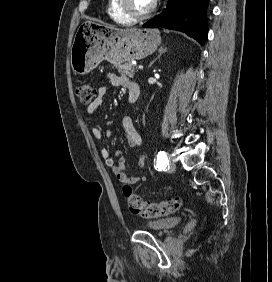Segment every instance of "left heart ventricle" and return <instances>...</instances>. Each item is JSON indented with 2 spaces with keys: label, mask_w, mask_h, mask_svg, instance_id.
<instances>
[{
  "label": "left heart ventricle",
  "mask_w": 272,
  "mask_h": 282,
  "mask_svg": "<svg viewBox=\"0 0 272 282\" xmlns=\"http://www.w3.org/2000/svg\"><path fill=\"white\" fill-rule=\"evenodd\" d=\"M130 2L136 12L143 13L151 8L154 0H130Z\"/></svg>",
  "instance_id": "obj_1"
}]
</instances>
